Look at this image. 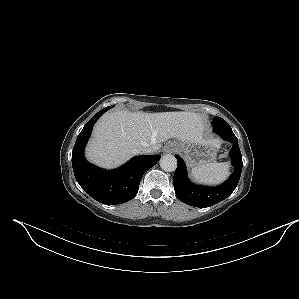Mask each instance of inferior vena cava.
<instances>
[{
    "instance_id": "obj_1",
    "label": "inferior vena cava",
    "mask_w": 299,
    "mask_h": 299,
    "mask_svg": "<svg viewBox=\"0 0 299 299\" xmlns=\"http://www.w3.org/2000/svg\"><path fill=\"white\" fill-rule=\"evenodd\" d=\"M138 153L140 154H150L152 153V149L150 147H141L139 150H138Z\"/></svg>"
}]
</instances>
